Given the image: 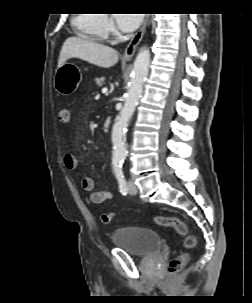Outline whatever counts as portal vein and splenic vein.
Here are the masks:
<instances>
[{
	"instance_id": "obj_1",
	"label": "portal vein and splenic vein",
	"mask_w": 252,
	"mask_h": 303,
	"mask_svg": "<svg viewBox=\"0 0 252 303\" xmlns=\"http://www.w3.org/2000/svg\"><path fill=\"white\" fill-rule=\"evenodd\" d=\"M108 91V89L106 88V87H104L103 89H102V93H106Z\"/></svg>"
}]
</instances>
